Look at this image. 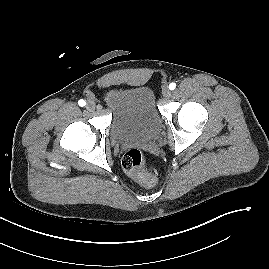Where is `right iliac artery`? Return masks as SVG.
<instances>
[{
  "label": "right iliac artery",
  "instance_id": "obj_1",
  "mask_svg": "<svg viewBox=\"0 0 269 269\" xmlns=\"http://www.w3.org/2000/svg\"><path fill=\"white\" fill-rule=\"evenodd\" d=\"M78 104H79V106L83 107V106H85L86 102L83 99H80L78 101Z\"/></svg>",
  "mask_w": 269,
  "mask_h": 269
}]
</instances>
